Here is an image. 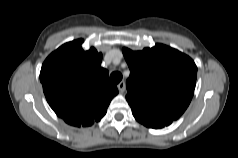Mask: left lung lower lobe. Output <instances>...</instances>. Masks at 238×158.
Masks as SVG:
<instances>
[{"label":"left lung lower lobe","mask_w":238,"mask_h":158,"mask_svg":"<svg viewBox=\"0 0 238 158\" xmlns=\"http://www.w3.org/2000/svg\"><path fill=\"white\" fill-rule=\"evenodd\" d=\"M135 119L140 122L141 124L151 127V128H163L165 126L170 125L174 120H152V119H147L139 116H134Z\"/></svg>","instance_id":"left-lung-lower-lobe-1"}]
</instances>
